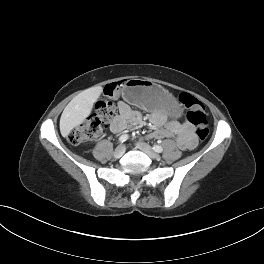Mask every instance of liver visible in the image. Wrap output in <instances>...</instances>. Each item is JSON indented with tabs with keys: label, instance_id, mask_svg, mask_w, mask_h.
<instances>
[{
	"label": "liver",
	"instance_id": "liver-1",
	"mask_svg": "<svg viewBox=\"0 0 264 264\" xmlns=\"http://www.w3.org/2000/svg\"><path fill=\"white\" fill-rule=\"evenodd\" d=\"M103 88L94 86L75 96L65 107L60 118V132L63 137L81 124L91 113L94 102L100 97Z\"/></svg>",
	"mask_w": 264,
	"mask_h": 264
}]
</instances>
